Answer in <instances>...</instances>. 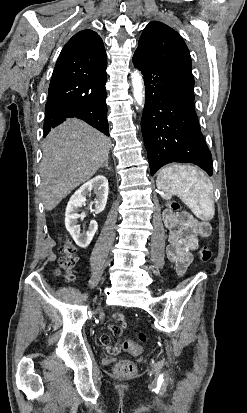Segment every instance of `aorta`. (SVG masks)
Wrapping results in <instances>:
<instances>
[{
  "label": "aorta",
  "mask_w": 247,
  "mask_h": 413,
  "mask_svg": "<svg viewBox=\"0 0 247 413\" xmlns=\"http://www.w3.org/2000/svg\"><path fill=\"white\" fill-rule=\"evenodd\" d=\"M132 86H133V95L136 102L141 105L144 97L142 75L140 72L135 71L132 75Z\"/></svg>",
  "instance_id": "762f6f07"
}]
</instances>
